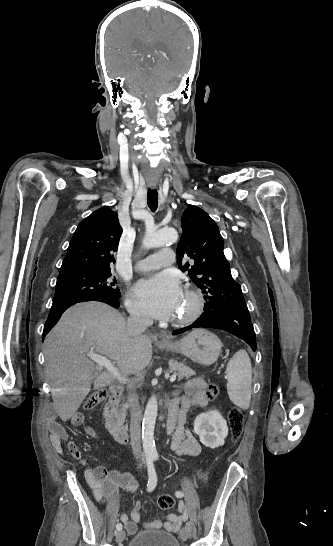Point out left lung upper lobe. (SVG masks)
I'll return each mask as SVG.
<instances>
[{
	"label": "left lung upper lobe",
	"instance_id": "1",
	"mask_svg": "<svg viewBox=\"0 0 333 546\" xmlns=\"http://www.w3.org/2000/svg\"><path fill=\"white\" fill-rule=\"evenodd\" d=\"M182 236L177 245V263L202 290L204 312L220 305L245 304L240 285L232 278L230 265L223 252L219 228L209 215L197 206L188 205L182 218ZM187 258L192 264L185 262Z\"/></svg>",
	"mask_w": 333,
	"mask_h": 546
}]
</instances>
